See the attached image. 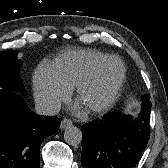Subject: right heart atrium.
<instances>
[{
	"instance_id": "obj_1",
	"label": "right heart atrium",
	"mask_w": 168,
	"mask_h": 168,
	"mask_svg": "<svg viewBox=\"0 0 168 168\" xmlns=\"http://www.w3.org/2000/svg\"><path fill=\"white\" fill-rule=\"evenodd\" d=\"M33 90L38 107L47 113L55 111L70 94V89L60 81L52 66L44 63L34 71Z\"/></svg>"
}]
</instances>
